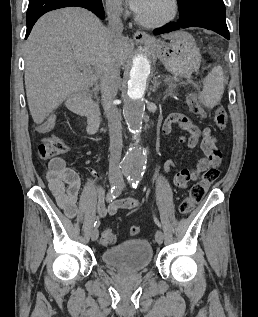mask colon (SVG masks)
<instances>
[{
  "mask_svg": "<svg viewBox=\"0 0 258 317\" xmlns=\"http://www.w3.org/2000/svg\"><path fill=\"white\" fill-rule=\"evenodd\" d=\"M191 111L198 116H205V110L201 106L196 94H191L188 99ZM214 121L220 130L228 127V116L225 110L217 109L214 113ZM69 151V146L60 138L50 136L44 138L37 147V155L40 159L47 160L58 157ZM219 169L217 166H209L204 171L202 179L192 186L187 197H185L179 206L181 214H189L196 205L204 198L209 186L218 178ZM133 234L139 232L138 227L132 228ZM116 242V235L112 229L106 228L102 231L100 243L105 246H111Z\"/></svg>",
  "mask_w": 258,
  "mask_h": 317,
  "instance_id": "5ec220e1",
  "label": "colon"
}]
</instances>
